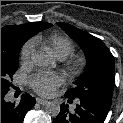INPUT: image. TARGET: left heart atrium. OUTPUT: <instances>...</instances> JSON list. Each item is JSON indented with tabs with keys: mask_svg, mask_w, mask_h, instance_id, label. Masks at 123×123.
Listing matches in <instances>:
<instances>
[{
	"mask_svg": "<svg viewBox=\"0 0 123 123\" xmlns=\"http://www.w3.org/2000/svg\"><path fill=\"white\" fill-rule=\"evenodd\" d=\"M63 83V76L56 72H39L29 81L31 88L41 96H50Z\"/></svg>",
	"mask_w": 123,
	"mask_h": 123,
	"instance_id": "1",
	"label": "left heart atrium"
}]
</instances>
